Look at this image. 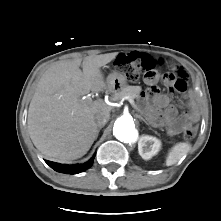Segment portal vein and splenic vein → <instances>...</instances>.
I'll use <instances>...</instances> for the list:
<instances>
[{
	"label": "portal vein and splenic vein",
	"mask_w": 221,
	"mask_h": 221,
	"mask_svg": "<svg viewBox=\"0 0 221 221\" xmlns=\"http://www.w3.org/2000/svg\"><path fill=\"white\" fill-rule=\"evenodd\" d=\"M125 98H126V99L128 100V102L131 104V106L136 109V105H135L134 99H133L132 97H130V96H126ZM87 100H90V101H91L90 98H88Z\"/></svg>",
	"instance_id": "18ae733b"
}]
</instances>
